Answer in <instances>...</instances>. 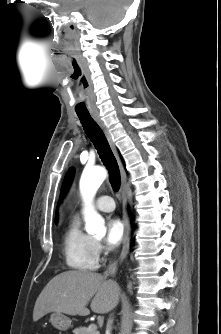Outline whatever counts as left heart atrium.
I'll use <instances>...</instances> for the list:
<instances>
[{
    "label": "left heart atrium",
    "instance_id": "39dd6f15",
    "mask_svg": "<svg viewBox=\"0 0 221 334\" xmlns=\"http://www.w3.org/2000/svg\"><path fill=\"white\" fill-rule=\"evenodd\" d=\"M124 231V224L119 218H110L107 221V244L111 247L118 246L124 238Z\"/></svg>",
    "mask_w": 221,
    "mask_h": 334
}]
</instances>
